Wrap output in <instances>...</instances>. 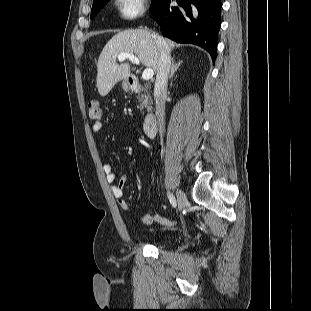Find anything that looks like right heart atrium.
I'll use <instances>...</instances> for the list:
<instances>
[{"mask_svg":"<svg viewBox=\"0 0 311 311\" xmlns=\"http://www.w3.org/2000/svg\"><path fill=\"white\" fill-rule=\"evenodd\" d=\"M146 1L147 0H114V4L121 18L133 20L144 13Z\"/></svg>","mask_w":311,"mask_h":311,"instance_id":"1","label":"right heart atrium"}]
</instances>
